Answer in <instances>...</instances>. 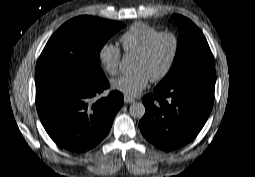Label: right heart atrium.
I'll list each match as a JSON object with an SVG mask.
<instances>
[{
    "instance_id": "d8ad5b80",
    "label": "right heart atrium",
    "mask_w": 255,
    "mask_h": 177,
    "mask_svg": "<svg viewBox=\"0 0 255 177\" xmlns=\"http://www.w3.org/2000/svg\"><path fill=\"white\" fill-rule=\"evenodd\" d=\"M98 58L109 75L114 76L118 73L121 62L119 47L109 42L104 43L98 51Z\"/></svg>"
}]
</instances>
